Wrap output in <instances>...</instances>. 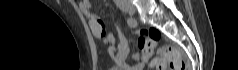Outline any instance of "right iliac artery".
<instances>
[{
    "label": "right iliac artery",
    "mask_w": 238,
    "mask_h": 70,
    "mask_svg": "<svg viewBox=\"0 0 238 70\" xmlns=\"http://www.w3.org/2000/svg\"><path fill=\"white\" fill-rule=\"evenodd\" d=\"M127 24L132 27V28H135L137 26V22L136 20H134L133 18L129 17L127 19Z\"/></svg>",
    "instance_id": "right-iliac-artery-1"
}]
</instances>
